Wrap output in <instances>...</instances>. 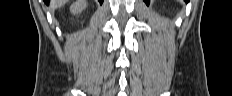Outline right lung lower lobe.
<instances>
[{"mask_svg":"<svg viewBox=\"0 0 232 96\" xmlns=\"http://www.w3.org/2000/svg\"><path fill=\"white\" fill-rule=\"evenodd\" d=\"M49 1H50V0H44V2H45L46 4H49ZM98 1L100 2V4L103 3V0H98Z\"/></svg>","mask_w":232,"mask_h":96,"instance_id":"98d812e1","label":"right lung lower lobe"}]
</instances>
